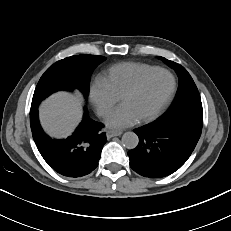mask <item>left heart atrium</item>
Returning <instances> with one entry per match:
<instances>
[{
	"instance_id": "39dd6f15",
	"label": "left heart atrium",
	"mask_w": 231,
	"mask_h": 231,
	"mask_svg": "<svg viewBox=\"0 0 231 231\" xmlns=\"http://www.w3.org/2000/svg\"><path fill=\"white\" fill-rule=\"evenodd\" d=\"M138 120L133 110L128 105L123 104L108 115L106 125L109 128L120 129L131 126Z\"/></svg>"
}]
</instances>
